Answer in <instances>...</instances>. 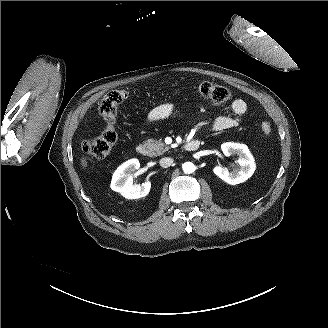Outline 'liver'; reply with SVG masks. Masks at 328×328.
Wrapping results in <instances>:
<instances>
[{"mask_svg": "<svg viewBox=\"0 0 328 328\" xmlns=\"http://www.w3.org/2000/svg\"><path fill=\"white\" fill-rule=\"evenodd\" d=\"M81 165H82V167H87V160H86V158L85 157H83V158H81Z\"/></svg>", "mask_w": 328, "mask_h": 328, "instance_id": "liver-1", "label": "liver"}]
</instances>
